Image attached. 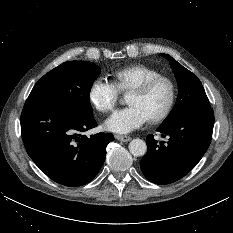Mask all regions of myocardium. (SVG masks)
<instances>
[{
    "label": "myocardium",
    "instance_id": "myocardium-1",
    "mask_svg": "<svg viewBox=\"0 0 233 233\" xmlns=\"http://www.w3.org/2000/svg\"><path fill=\"white\" fill-rule=\"evenodd\" d=\"M161 82L167 83V85L169 86L170 95L164 109L158 115L148 119L149 122L153 124L164 121L170 115L173 109L176 100V85L174 81L168 76L159 75L142 82L141 84L130 90V93L145 94Z\"/></svg>",
    "mask_w": 233,
    "mask_h": 233
}]
</instances>
